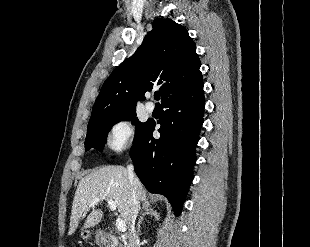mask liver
Masks as SVG:
<instances>
[{"label":"liver","instance_id":"6515ba94","mask_svg":"<svg viewBox=\"0 0 310 247\" xmlns=\"http://www.w3.org/2000/svg\"><path fill=\"white\" fill-rule=\"evenodd\" d=\"M137 192L139 200L143 202V206L149 205L146 198V190L140 181L137 186ZM97 197H105L115 201L121 218L126 226H130L132 185L128 171L123 166L108 165L93 170L80 180L73 199L69 235L76 230L80 218L89 211L90 203ZM102 217L103 212L101 209H93L87 216L82 230L97 225Z\"/></svg>","mask_w":310,"mask_h":247}]
</instances>
